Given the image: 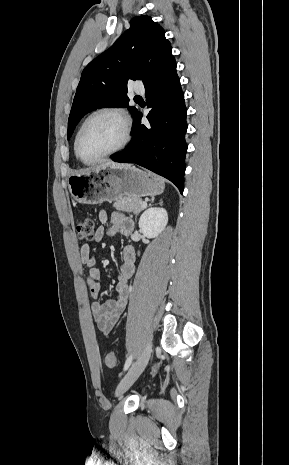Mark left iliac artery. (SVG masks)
Here are the masks:
<instances>
[{
    "mask_svg": "<svg viewBox=\"0 0 289 465\" xmlns=\"http://www.w3.org/2000/svg\"><path fill=\"white\" fill-rule=\"evenodd\" d=\"M132 359H133V356H132V355H130V356L127 358V360H126V362H125V365H124V371H126V370L129 368V366H130L131 363H132Z\"/></svg>",
    "mask_w": 289,
    "mask_h": 465,
    "instance_id": "obj_1",
    "label": "left iliac artery"
}]
</instances>
